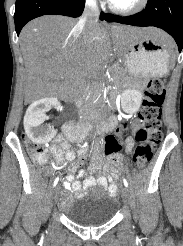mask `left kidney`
<instances>
[{"instance_id": "obj_1", "label": "left kidney", "mask_w": 183, "mask_h": 246, "mask_svg": "<svg viewBox=\"0 0 183 246\" xmlns=\"http://www.w3.org/2000/svg\"><path fill=\"white\" fill-rule=\"evenodd\" d=\"M142 102V94L135 89H127L122 92L121 106L122 109L128 114L136 113Z\"/></svg>"}]
</instances>
